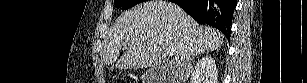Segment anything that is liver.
I'll list each match as a JSON object with an SVG mask.
<instances>
[{
	"label": "liver",
	"mask_w": 307,
	"mask_h": 83,
	"mask_svg": "<svg viewBox=\"0 0 307 83\" xmlns=\"http://www.w3.org/2000/svg\"><path fill=\"white\" fill-rule=\"evenodd\" d=\"M224 36L200 26L179 6L152 0L121 14L104 42L103 60L125 69H158L163 53L174 50L177 66L198 55L219 49ZM125 52L120 56L121 49Z\"/></svg>",
	"instance_id": "1"
}]
</instances>
